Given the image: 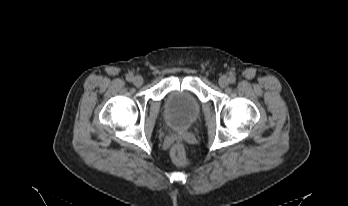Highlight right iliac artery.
<instances>
[{"mask_svg":"<svg viewBox=\"0 0 348 206\" xmlns=\"http://www.w3.org/2000/svg\"><path fill=\"white\" fill-rule=\"evenodd\" d=\"M126 80L129 81V82L133 81V75L128 74L127 77H126Z\"/></svg>","mask_w":348,"mask_h":206,"instance_id":"obj_1","label":"right iliac artery"}]
</instances>
